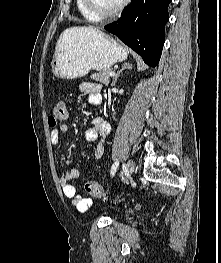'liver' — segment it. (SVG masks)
I'll return each instance as SVG.
<instances>
[{"mask_svg":"<svg viewBox=\"0 0 221 263\" xmlns=\"http://www.w3.org/2000/svg\"><path fill=\"white\" fill-rule=\"evenodd\" d=\"M85 30H97V29H95L94 27H92V26H89V27H83Z\"/></svg>","mask_w":221,"mask_h":263,"instance_id":"liver-1","label":"liver"}]
</instances>
